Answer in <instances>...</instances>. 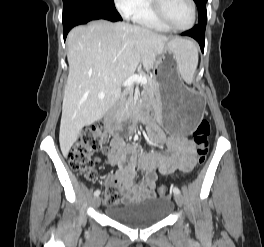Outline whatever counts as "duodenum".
<instances>
[{"label":"duodenum","instance_id":"obj_1","mask_svg":"<svg viewBox=\"0 0 264 247\" xmlns=\"http://www.w3.org/2000/svg\"><path fill=\"white\" fill-rule=\"evenodd\" d=\"M148 120V116L139 110L134 111L127 119L120 122L116 118V107L113 106L104 114V123L111 135L120 136L125 131L134 128L141 122Z\"/></svg>","mask_w":264,"mask_h":247}]
</instances>
